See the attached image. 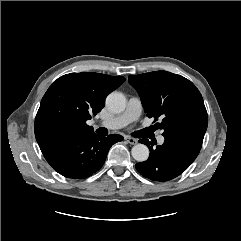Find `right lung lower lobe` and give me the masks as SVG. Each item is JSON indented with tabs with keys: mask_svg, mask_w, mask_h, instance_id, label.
<instances>
[{
	"mask_svg": "<svg viewBox=\"0 0 241 241\" xmlns=\"http://www.w3.org/2000/svg\"><path fill=\"white\" fill-rule=\"evenodd\" d=\"M122 140L120 135L101 137L90 133L59 138L41 145L40 149L55 171L68 178L82 179L98 171L109 148Z\"/></svg>",
	"mask_w": 241,
	"mask_h": 241,
	"instance_id": "98d812e1",
	"label": "right lung lower lobe"
}]
</instances>
